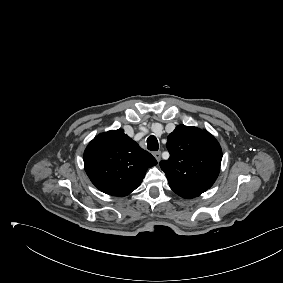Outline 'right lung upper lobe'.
I'll return each instance as SVG.
<instances>
[{
    "label": "right lung upper lobe",
    "instance_id": "cb5924a9",
    "mask_svg": "<svg viewBox=\"0 0 283 283\" xmlns=\"http://www.w3.org/2000/svg\"><path fill=\"white\" fill-rule=\"evenodd\" d=\"M156 159L124 134L112 130L96 136L84 152L85 171L102 192L127 196L141 184Z\"/></svg>",
    "mask_w": 283,
    "mask_h": 283
}]
</instances>
